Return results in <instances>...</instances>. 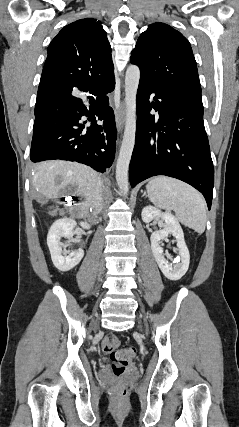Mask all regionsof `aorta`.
<instances>
[{"label": "aorta", "mask_w": 239, "mask_h": 427, "mask_svg": "<svg viewBox=\"0 0 239 427\" xmlns=\"http://www.w3.org/2000/svg\"><path fill=\"white\" fill-rule=\"evenodd\" d=\"M140 80V70L130 65L125 76L126 121L122 145L116 164V181L124 195L129 190L128 168L135 144L136 133V95Z\"/></svg>", "instance_id": "aorta-1"}]
</instances>
